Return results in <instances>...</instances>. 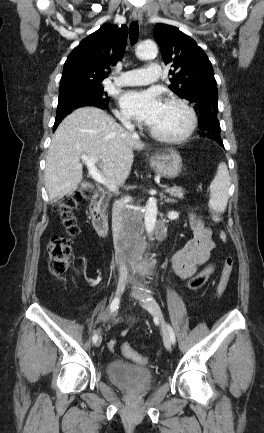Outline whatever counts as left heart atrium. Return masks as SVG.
I'll return each instance as SVG.
<instances>
[{"label": "left heart atrium", "mask_w": 264, "mask_h": 433, "mask_svg": "<svg viewBox=\"0 0 264 433\" xmlns=\"http://www.w3.org/2000/svg\"><path fill=\"white\" fill-rule=\"evenodd\" d=\"M120 103L128 115L149 125L157 119L163 107L155 90L128 91L121 96Z\"/></svg>", "instance_id": "39dd6f15"}]
</instances>
